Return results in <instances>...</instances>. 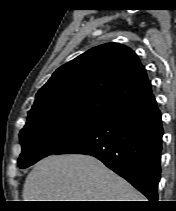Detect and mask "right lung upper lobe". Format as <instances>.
<instances>
[{"instance_id": "right-lung-upper-lobe-1", "label": "right lung upper lobe", "mask_w": 176, "mask_h": 211, "mask_svg": "<svg viewBox=\"0 0 176 211\" xmlns=\"http://www.w3.org/2000/svg\"><path fill=\"white\" fill-rule=\"evenodd\" d=\"M153 98L146 70L134 51L108 43L58 68L36 94L28 115L58 109L106 117Z\"/></svg>"}]
</instances>
